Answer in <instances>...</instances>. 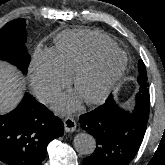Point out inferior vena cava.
<instances>
[{"instance_id":"inferior-vena-cava-1","label":"inferior vena cava","mask_w":165,"mask_h":165,"mask_svg":"<svg viewBox=\"0 0 165 165\" xmlns=\"http://www.w3.org/2000/svg\"><path fill=\"white\" fill-rule=\"evenodd\" d=\"M60 94V90L58 88L53 87H43L36 92V96L42 103H48L54 99V97Z\"/></svg>"}]
</instances>
